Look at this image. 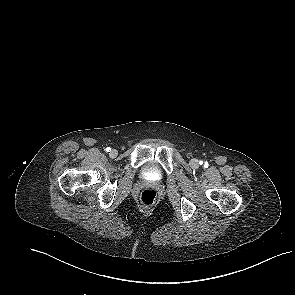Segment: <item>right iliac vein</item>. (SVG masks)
Here are the masks:
<instances>
[{
  "label": "right iliac vein",
  "instance_id": "right-iliac-vein-1",
  "mask_svg": "<svg viewBox=\"0 0 295 295\" xmlns=\"http://www.w3.org/2000/svg\"><path fill=\"white\" fill-rule=\"evenodd\" d=\"M118 155V151L116 149H112L109 153L111 158H115Z\"/></svg>",
  "mask_w": 295,
  "mask_h": 295
}]
</instances>
